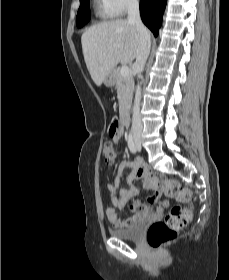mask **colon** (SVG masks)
Listing matches in <instances>:
<instances>
[{
	"label": "colon",
	"instance_id": "1",
	"mask_svg": "<svg viewBox=\"0 0 229 280\" xmlns=\"http://www.w3.org/2000/svg\"><path fill=\"white\" fill-rule=\"evenodd\" d=\"M119 128L117 121H113L109 133L114 134ZM103 155L105 162L113 163L116 156V147L108 142L104 145ZM149 186L155 189H163L169 195L176 197L180 201L189 199L188 190L180 187L178 181L167 180L161 174H155L148 180ZM191 210L183 206H173L162 220L154 222L147 231L148 244L153 248H159L174 240L177 233L186 227L191 219Z\"/></svg>",
	"mask_w": 229,
	"mask_h": 280
}]
</instances>
